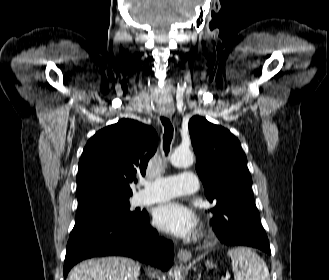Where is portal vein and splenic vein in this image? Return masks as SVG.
Wrapping results in <instances>:
<instances>
[{"instance_id":"obj_1","label":"portal vein and splenic vein","mask_w":329,"mask_h":280,"mask_svg":"<svg viewBox=\"0 0 329 280\" xmlns=\"http://www.w3.org/2000/svg\"><path fill=\"white\" fill-rule=\"evenodd\" d=\"M230 278V276H226L225 278H223L222 280H228Z\"/></svg>"}]
</instances>
